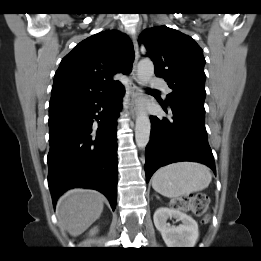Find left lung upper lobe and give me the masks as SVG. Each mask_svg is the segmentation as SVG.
Here are the masks:
<instances>
[{"instance_id":"obj_1","label":"left lung upper lobe","mask_w":261,"mask_h":261,"mask_svg":"<svg viewBox=\"0 0 261 261\" xmlns=\"http://www.w3.org/2000/svg\"><path fill=\"white\" fill-rule=\"evenodd\" d=\"M138 41L145 45L156 76L165 79L173 90L166 103L184 99L204 107L205 58L194 39L175 29L156 26L144 30Z\"/></svg>"}]
</instances>
